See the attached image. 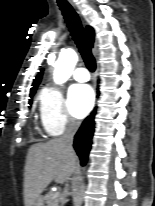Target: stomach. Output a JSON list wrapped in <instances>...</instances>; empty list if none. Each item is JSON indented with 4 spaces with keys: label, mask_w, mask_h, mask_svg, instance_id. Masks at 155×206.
<instances>
[{
    "label": "stomach",
    "mask_w": 155,
    "mask_h": 206,
    "mask_svg": "<svg viewBox=\"0 0 155 206\" xmlns=\"http://www.w3.org/2000/svg\"><path fill=\"white\" fill-rule=\"evenodd\" d=\"M33 206H44L43 197L41 195L37 198Z\"/></svg>",
    "instance_id": "obj_1"
}]
</instances>
